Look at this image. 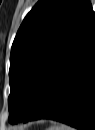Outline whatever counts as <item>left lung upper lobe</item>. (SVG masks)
<instances>
[{
	"label": "left lung upper lobe",
	"instance_id": "1",
	"mask_svg": "<svg viewBox=\"0 0 95 130\" xmlns=\"http://www.w3.org/2000/svg\"><path fill=\"white\" fill-rule=\"evenodd\" d=\"M93 16L88 0H40L27 14L10 55V123L25 116L51 69Z\"/></svg>",
	"mask_w": 95,
	"mask_h": 130
}]
</instances>
